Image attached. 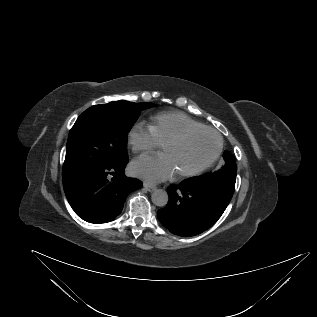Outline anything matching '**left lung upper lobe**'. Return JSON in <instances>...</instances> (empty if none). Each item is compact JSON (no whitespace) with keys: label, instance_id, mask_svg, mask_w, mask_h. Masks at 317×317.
Instances as JSON below:
<instances>
[{"label":"left lung upper lobe","instance_id":"obj_1","mask_svg":"<svg viewBox=\"0 0 317 317\" xmlns=\"http://www.w3.org/2000/svg\"><path fill=\"white\" fill-rule=\"evenodd\" d=\"M223 157L225 160V165L221 169L213 173L205 174L201 177L204 179H216L235 184L237 173L235 160L229 152H224Z\"/></svg>","mask_w":317,"mask_h":317}]
</instances>
